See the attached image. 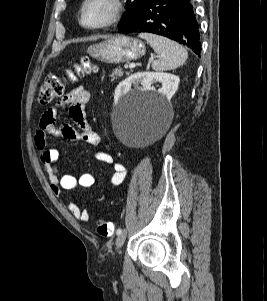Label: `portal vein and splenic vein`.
<instances>
[{
	"mask_svg": "<svg viewBox=\"0 0 267 301\" xmlns=\"http://www.w3.org/2000/svg\"><path fill=\"white\" fill-rule=\"evenodd\" d=\"M151 60H153V58ZM134 67L135 65H125V68H134Z\"/></svg>",
	"mask_w": 267,
	"mask_h": 301,
	"instance_id": "1",
	"label": "portal vein and splenic vein"
}]
</instances>
